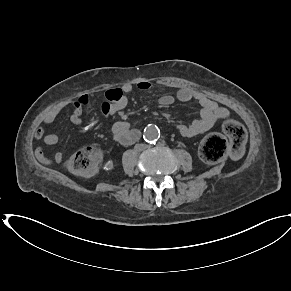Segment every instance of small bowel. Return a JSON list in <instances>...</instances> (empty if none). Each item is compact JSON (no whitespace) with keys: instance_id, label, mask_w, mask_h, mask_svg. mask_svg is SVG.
I'll return each instance as SVG.
<instances>
[{"instance_id":"obj_1","label":"small bowel","mask_w":291,"mask_h":291,"mask_svg":"<svg viewBox=\"0 0 291 291\" xmlns=\"http://www.w3.org/2000/svg\"><path fill=\"white\" fill-rule=\"evenodd\" d=\"M135 85L140 89H149L151 84L144 78L140 77L136 80ZM134 85L126 82L120 86L112 87L105 92L104 100L101 104V111L106 118L112 117L122 111L129 101V95L133 90ZM176 98L179 101L186 102L194 100L200 106V117L189 124L180 123L176 126L178 132L185 137H192L208 131L213 125L221 119L228 116V110L219 106L214 100L206 96L204 93L194 90L189 87H183L176 93ZM175 98L172 95L165 94L159 98V103L163 106L173 104ZM89 96L84 94L70 102L60 104L50 110L42 120V123L35 130V138L43 139L45 144L55 146L59 143V138L55 134H45L43 126L52 124L59 115L68 107L72 108L70 120L77 126L84 124L83 108L88 104ZM112 133L117 142L122 145H130L139 138V131L132 129L126 121H117L112 127ZM37 158L45 162L44 150L38 148L36 150ZM64 154L57 152L54 155L56 163H62Z\"/></svg>"}]
</instances>
